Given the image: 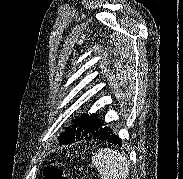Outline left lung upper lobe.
I'll list each match as a JSON object with an SVG mask.
<instances>
[{"instance_id": "5c2ea615", "label": "left lung upper lobe", "mask_w": 183, "mask_h": 179, "mask_svg": "<svg viewBox=\"0 0 183 179\" xmlns=\"http://www.w3.org/2000/svg\"><path fill=\"white\" fill-rule=\"evenodd\" d=\"M60 136V144H70L79 137H87L104 126L96 116L82 115L71 122Z\"/></svg>"}]
</instances>
